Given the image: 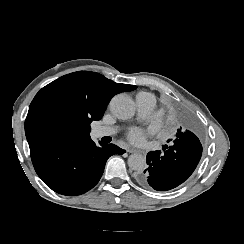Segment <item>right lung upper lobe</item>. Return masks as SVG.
I'll list each match as a JSON object with an SVG mask.
<instances>
[{"mask_svg": "<svg viewBox=\"0 0 244 244\" xmlns=\"http://www.w3.org/2000/svg\"><path fill=\"white\" fill-rule=\"evenodd\" d=\"M136 88L135 85L115 83L99 73L90 71H78L60 77L42 88L29 107L25 120L28 143L41 141L32 138L28 132V122L35 112L52 111L65 106L82 107L88 110V118L92 122L102 118L114 95ZM87 137L89 136L82 139Z\"/></svg>", "mask_w": 244, "mask_h": 244, "instance_id": "cb5924a9", "label": "right lung upper lobe"}]
</instances>
